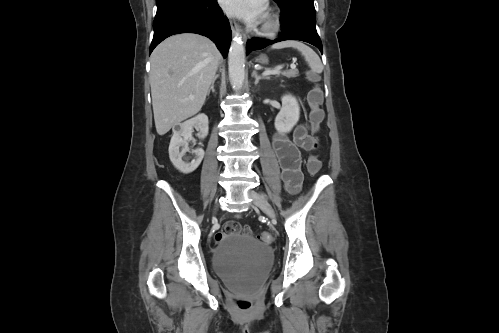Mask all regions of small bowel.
Returning a JSON list of instances; mask_svg holds the SVG:
<instances>
[{
  "label": "small bowel",
  "instance_id": "c3829d8e",
  "mask_svg": "<svg viewBox=\"0 0 499 333\" xmlns=\"http://www.w3.org/2000/svg\"><path fill=\"white\" fill-rule=\"evenodd\" d=\"M312 132L308 124L302 123L295 127L291 137L279 132L273 136V148L282 170V180L291 194H297L301 188L303 174L300 151L313 150L315 139Z\"/></svg>",
  "mask_w": 499,
  "mask_h": 333
}]
</instances>
